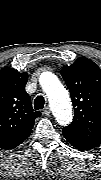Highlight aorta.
I'll use <instances>...</instances> for the list:
<instances>
[{"label": "aorta", "mask_w": 101, "mask_h": 180, "mask_svg": "<svg viewBox=\"0 0 101 180\" xmlns=\"http://www.w3.org/2000/svg\"><path fill=\"white\" fill-rule=\"evenodd\" d=\"M41 84L57 122L61 125L69 124L72 120V103L68 91L51 72L41 76Z\"/></svg>", "instance_id": "obj_1"}]
</instances>
